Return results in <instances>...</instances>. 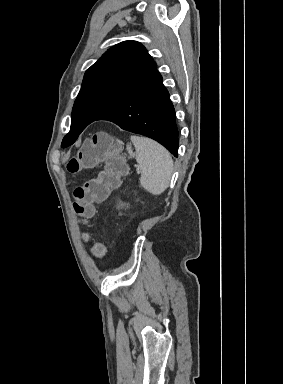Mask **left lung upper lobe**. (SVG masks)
<instances>
[{
    "label": "left lung upper lobe",
    "instance_id": "obj_1",
    "mask_svg": "<svg viewBox=\"0 0 283 384\" xmlns=\"http://www.w3.org/2000/svg\"><path fill=\"white\" fill-rule=\"evenodd\" d=\"M157 69L145 47L123 41L111 47L85 73L62 147L72 145L90 123L120 103Z\"/></svg>",
    "mask_w": 283,
    "mask_h": 384
}]
</instances>
